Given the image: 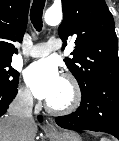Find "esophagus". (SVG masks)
Here are the masks:
<instances>
[{"label":"esophagus","instance_id":"obj_1","mask_svg":"<svg viewBox=\"0 0 119 141\" xmlns=\"http://www.w3.org/2000/svg\"><path fill=\"white\" fill-rule=\"evenodd\" d=\"M46 128L49 130H53L54 129V125L52 120H46V124H45Z\"/></svg>","mask_w":119,"mask_h":141}]
</instances>
